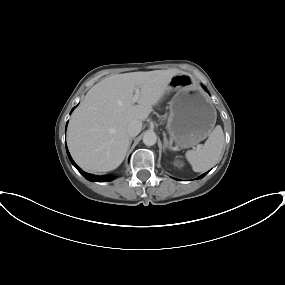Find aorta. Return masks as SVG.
<instances>
[{"label":"aorta","instance_id":"aorta-1","mask_svg":"<svg viewBox=\"0 0 285 285\" xmlns=\"http://www.w3.org/2000/svg\"><path fill=\"white\" fill-rule=\"evenodd\" d=\"M157 142V136L153 131H147L143 136V143L146 146H153Z\"/></svg>","mask_w":285,"mask_h":285}]
</instances>
